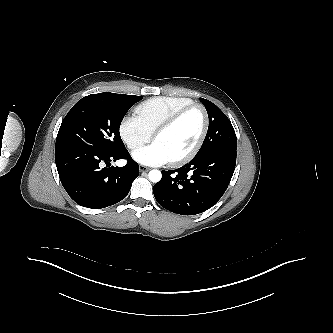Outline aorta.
Wrapping results in <instances>:
<instances>
[{
    "instance_id": "aorta-1",
    "label": "aorta",
    "mask_w": 333,
    "mask_h": 333,
    "mask_svg": "<svg viewBox=\"0 0 333 333\" xmlns=\"http://www.w3.org/2000/svg\"><path fill=\"white\" fill-rule=\"evenodd\" d=\"M148 178L151 182L153 183H157L161 180L162 178V174L159 170L157 169H154V170H151L148 174Z\"/></svg>"
}]
</instances>
